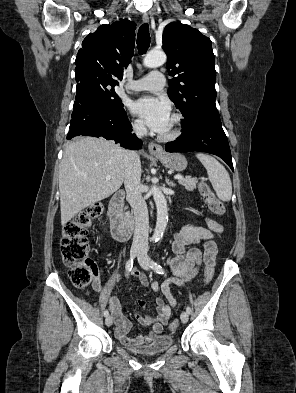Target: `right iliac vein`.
<instances>
[{"label": "right iliac vein", "mask_w": 296, "mask_h": 393, "mask_svg": "<svg viewBox=\"0 0 296 393\" xmlns=\"http://www.w3.org/2000/svg\"><path fill=\"white\" fill-rule=\"evenodd\" d=\"M141 251L140 247H133L130 251V256L132 258L136 257ZM105 324L106 326H111L113 324V317L112 316H107L105 319Z\"/></svg>", "instance_id": "1"}]
</instances>
